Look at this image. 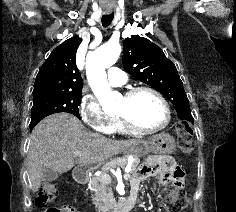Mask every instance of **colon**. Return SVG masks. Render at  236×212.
<instances>
[{"instance_id": "5ec220e1", "label": "colon", "mask_w": 236, "mask_h": 212, "mask_svg": "<svg viewBox=\"0 0 236 212\" xmlns=\"http://www.w3.org/2000/svg\"><path fill=\"white\" fill-rule=\"evenodd\" d=\"M176 134L178 138V147L182 154L190 155L194 150V143L192 140V131L189 125L184 121H179L176 125ZM182 183L174 178L169 181V191L166 199L172 204L173 212H180L188 209L191 206V199L189 195L181 192ZM58 195V187L53 183H45L36 199V204L39 207H46L51 204ZM72 208L68 206L53 207L47 212H71Z\"/></svg>"}]
</instances>
